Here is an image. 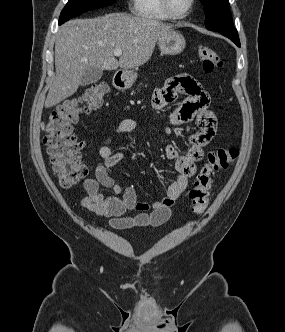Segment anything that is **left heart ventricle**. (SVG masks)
<instances>
[{"instance_id": "obj_1", "label": "left heart ventricle", "mask_w": 285, "mask_h": 332, "mask_svg": "<svg viewBox=\"0 0 285 332\" xmlns=\"http://www.w3.org/2000/svg\"><path fill=\"white\" fill-rule=\"evenodd\" d=\"M172 6L178 13H183L189 7L190 0H171Z\"/></svg>"}]
</instances>
